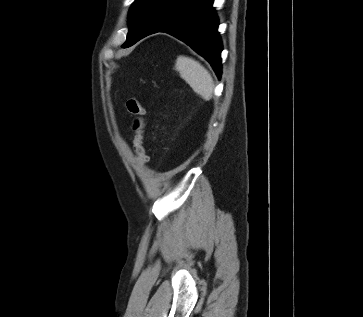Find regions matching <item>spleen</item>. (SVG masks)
Segmentation results:
<instances>
[{
	"label": "spleen",
	"mask_w": 363,
	"mask_h": 317,
	"mask_svg": "<svg viewBox=\"0 0 363 317\" xmlns=\"http://www.w3.org/2000/svg\"><path fill=\"white\" fill-rule=\"evenodd\" d=\"M175 69L194 92L206 100L212 97L214 91L212 76L198 61L181 55L176 60Z\"/></svg>",
	"instance_id": "obj_1"
}]
</instances>
